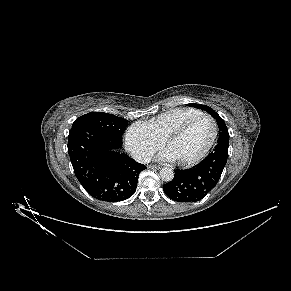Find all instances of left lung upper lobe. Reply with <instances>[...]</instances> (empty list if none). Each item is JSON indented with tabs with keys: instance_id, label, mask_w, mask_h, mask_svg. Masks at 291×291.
Listing matches in <instances>:
<instances>
[{
	"instance_id": "5c2ea615",
	"label": "left lung upper lobe",
	"mask_w": 291,
	"mask_h": 291,
	"mask_svg": "<svg viewBox=\"0 0 291 291\" xmlns=\"http://www.w3.org/2000/svg\"><path fill=\"white\" fill-rule=\"evenodd\" d=\"M191 106L205 110L213 118H215L217 123H218V127H219V139L229 140L228 129L225 125L224 120L218 115V113H216L212 108H210L209 106H206V105L192 103Z\"/></svg>"
}]
</instances>
